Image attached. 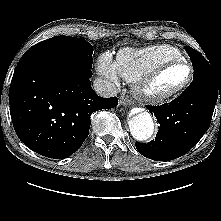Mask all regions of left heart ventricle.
I'll list each match as a JSON object with an SVG mask.
<instances>
[{
	"mask_svg": "<svg viewBox=\"0 0 221 221\" xmlns=\"http://www.w3.org/2000/svg\"><path fill=\"white\" fill-rule=\"evenodd\" d=\"M189 76L187 66H175L164 72L156 81L155 89L157 91H168L183 84Z\"/></svg>",
	"mask_w": 221,
	"mask_h": 221,
	"instance_id": "b2bd125f",
	"label": "left heart ventricle"
}]
</instances>
